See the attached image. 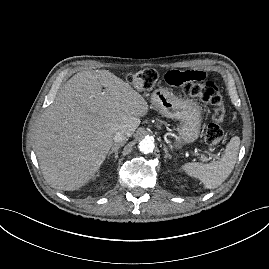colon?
Returning <instances> with one entry per match:
<instances>
[{
	"label": "colon",
	"instance_id": "5ec220e1",
	"mask_svg": "<svg viewBox=\"0 0 269 269\" xmlns=\"http://www.w3.org/2000/svg\"><path fill=\"white\" fill-rule=\"evenodd\" d=\"M159 74L155 69L147 68L127 77L128 82L139 91L152 89L158 81ZM181 86L183 92L191 97H197L201 103H208L213 106L211 122L205 131V141L209 145H219L225 137V129L222 123L227 117L226 108L219 86L211 79V84L202 85L194 81H187Z\"/></svg>",
	"mask_w": 269,
	"mask_h": 269
}]
</instances>
